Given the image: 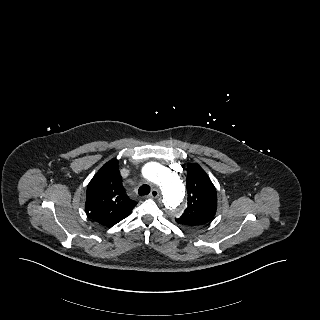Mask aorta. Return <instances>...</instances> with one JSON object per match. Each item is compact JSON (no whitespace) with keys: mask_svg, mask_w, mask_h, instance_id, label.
<instances>
[{"mask_svg":"<svg viewBox=\"0 0 320 320\" xmlns=\"http://www.w3.org/2000/svg\"><path fill=\"white\" fill-rule=\"evenodd\" d=\"M142 175L162 191L163 201L172 215L182 214L184 186L178 174L158 163H148L142 168Z\"/></svg>","mask_w":320,"mask_h":320,"instance_id":"762f6f07","label":"aorta"}]
</instances>
